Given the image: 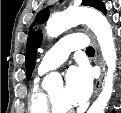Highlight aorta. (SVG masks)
Wrapping results in <instances>:
<instances>
[{
  "label": "aorta",
  "mask_w": 121,
  "mask_h": 113,
  "mask_svg": "<svg viewBox=\"0 0 121 113\" xmlns=\"http://www.w3.org/2000/svg\"><path fill=\"white\" fill-rule=\"evenodd\" d=\"M85 23L96 35L102 56L108 67L102 92L89 108L88 113H104L113 90V73L116 67V51L113 32L107 18L99 11L90 8L68 9L62 13L52 15L46 25L47 34L57 37L67 29ZM59 76L50 74L44 79V87L53 84Z\"/></svg>",
  "instance_id": "obj_1"
}]
</instances>
